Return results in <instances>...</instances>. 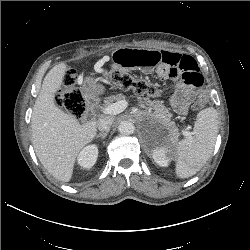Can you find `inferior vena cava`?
Returning <instances> with one entry per match:
<instances>
[{
  "label": "inferior vena cava",
  "instance_id": "obj_1",
  "mask_svg": "<svg viewBox=\"0 0 250 250\" xmlns=\"http://www.w3.org/2000/svg\"><path fill=\"white\" fill-rule=\"evenodd\" d=\"M113 122H114L113 117L105 116L98 120L97 127L100 131H109Z\"/></svg>",
  "mask_w": 250,
  "mask_h": 250
}]
</instances>
